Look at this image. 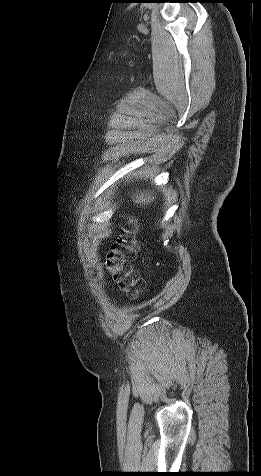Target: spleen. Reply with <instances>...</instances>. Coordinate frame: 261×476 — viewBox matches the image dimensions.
Listing matches in <instances>:
<instances>
[{
    "instance_id": "3e777b00",
    "label": "spleen",
    "mask_w": 261,
    "mask_h": 476,
    "mask_svg": "<svg viewBox=\"0 0 261 476\" xmlns=\"http://www.w3.org/2000/svg\"><path fill=\"white\" fill-rule=\"evenodd\" d=\"M136 199H134L133 197V200L134 202H136L137 204H148V203H151V201H153L154 198L150 197L149 195L145 194V193H141V194H137Z\"/></svg>"
}]
</instances>
